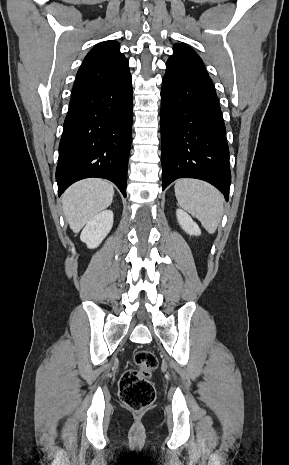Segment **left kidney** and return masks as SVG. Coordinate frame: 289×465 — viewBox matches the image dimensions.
Returning a JSON list of instances; mask_svg holds the SVG:
<instances>
[{"label":"left kidney","mask_w":289,"mask_h":465,"mask_svg":"<svg viewBox=\"0 0 289 465\" xmlns=\"http://www.w3.org/2000/svg\"><path fill=\"white\" fill-rule=\"evenodd\" d=\"M176 216L178 223L180 224L181 228L188 233L189 235L199 236L201 234V230L196 222L193 221L191 216H189L185 211L181 209L176 210Z\"/></svg>","instance_id":"obj_1"}]
</instances>
